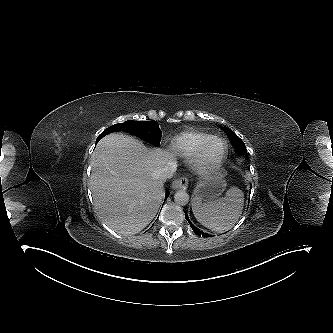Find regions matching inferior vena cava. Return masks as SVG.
<instances>
[{
  "label": "inferior vena cava",
  "instance_id": "602c4592",
  "mask_svg": "<svg viewBox=\"0 0 333 333\" xmlns=\"http://www.w3.org/2000/svg\"><path fill=\"white\" fill-rule=\"evenodd\" d=\"M177 163L174 160H169L165 166L161 167L159 174L162 180L170 179L176 171Z\"/></svg>",
  "mask_w": 333,
  "mask_h": 333
}]
</instances>
